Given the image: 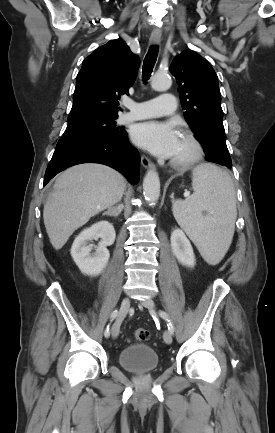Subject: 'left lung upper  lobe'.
Here are the masks:
<instances>
[{"instance_id": "left-lung-upper-lobe-1", "label": "left lung upper lobe", "mask_w": 275, "mask_h": 433, "mask_svg": "<svg viewBox=\"0 0 275 433\" xmlns=\"http://www.w3.org/2000/svg\"><path fill=\"white\" fill-rule=\"evenodd\" d=\"M170 72L179 86L185 119L203 145L206 159L220 165L231 163L214 69L196 52L187 50L174 58Z\"/></svg>"}]
</instances>
